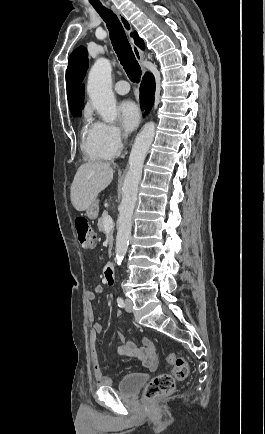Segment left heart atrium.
<instances>
[{
  "label": "left heart atrium",
  "mask_w": 265,
  "mask_h": 434,
  "mask_svg": "<svg viewBox=\"0 0 265 434\" xmlns=\"http://www.w3.org/2000/svg\"><path fill=\"white\" fill-rule=\"evenodd\" d=\"M120 123L126 131H132L140 119V110L133 101H124L118 108Z\"/></svg>",
  "instance_id": "39dd6f15"
}]
</instances>
